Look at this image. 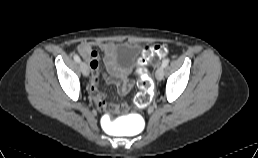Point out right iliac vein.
<instances>
[{"label":"right iliac vein","instance_id":"63e3f726","mask_svg":"<svg viewBox=\"0 0 258 158\" xmlns=\"http://www.w3.org/2000/svg\"><path fill=\"white\" fill-rule=\"evenodd\" d=\"M80 67H81L82 74L87 77L89 75L88 65L85 62H81Z\"/></svg>","mask_w":258,"mask_h":158}]
</instances>
